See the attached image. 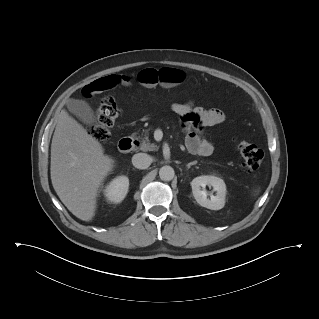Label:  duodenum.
Masks as SVG:
<instances>
[{"label":"duodenum","instance_id":"duodenum-1","mask_svg":"<svg viewBox=\"0 0 319 319\" xmlns=\"http://www.w3.org/2000/svg\"><path fill=\"white\" fill-rule=\"evenodd\" d=\"M136 143L132 138H123L119 141L118 148L121 152H129L136 146Z\"/></svg>","mask_w":319,"mask_h":319}]
</instances>
